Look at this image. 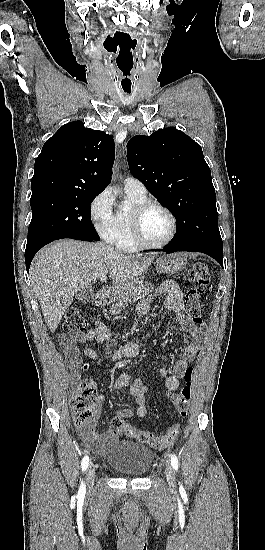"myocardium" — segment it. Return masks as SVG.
<instances>
[{
    "label": "myocardium",
    "mask_w": 265,
    "mask_h": 550,
    "mask_svg": "<svg viewBox=\"0 0 265 550\" xmlns=\"http://www.w3.org/2000/svg\"><path fill=\"white\" fill-rule=\"evenodd\" d=\"M154 208H157V209H160V210L164 211L166 213V215L169 217L170 223H171L170 233H169L168 237L161 243H150V242L145 240V238L143 237V234H142V220H143V217L150 209H154ZM131 232H132L133 240H134L135 244L138 247L144 248V249L163 248V247L167 246L168 244H170L173 241V239L175 238L176 233H177V220H176L175 215L172 213V211L168 207H166L165 205H163L159 202L146 201L142 204H139V205L135 206L132 210Z\"/></svg>",
    "instance_id": "1"
}]
</instances>
